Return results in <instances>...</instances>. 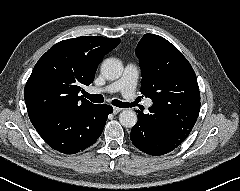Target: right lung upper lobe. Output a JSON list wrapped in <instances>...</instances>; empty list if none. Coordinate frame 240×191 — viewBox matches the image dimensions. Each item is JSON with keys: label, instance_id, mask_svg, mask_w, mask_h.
<instances>
[{"label": "right lung upper lobe", "instance_id": "obj_1", "mask_svg": "<svg viewBox=\"0 0 240 191\" xmlns=\"http://www.w3.org/2000/svg\"><path fill=\"white\" fill-rule=\"evenodd\" d=\"M120 41L84 36L52 46L36 63L24 89L30 120L54 109L93 105L78 93L93 82L99 62Z\"/></svg>", "mask_w": 240, "mask_h": 191}]
</instances>
